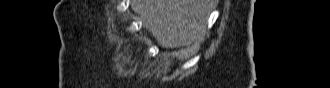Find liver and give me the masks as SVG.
<instances>
[{
  "instance_id": "obj_1",
  "label": "liver",
  "mask_w": 330,
  "mask_h": 88,
  "mask_svg": "<svg viewBox=\"0 0 330 88\" xmlns=\"http://www.w3.org/2000/svg\"><path fill=\"white\" fill-rule=\"evenodd\" d=\"M214 0H136L132 9L163 48L202 40Z\"/></svg>"
}]
</instances>
